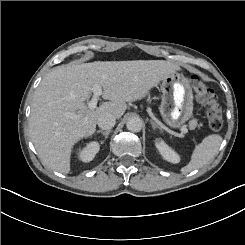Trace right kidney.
I'll return each instance as SVG.
<instances>
[{
	"label": "right kidney",
	"instance_id": "right-kidney-1",
	"mask_svg": "<svg viewBox=\"0 0 245 245\" xmlns=\"http://www.w3.org/2000/svg\"><path fill=\"white\" fill-rule=\"evenodd\" d=\"M99 150L100 143L97 140H92L76 150V157L82 163H89L95 158Z\"/></svg>",
	"mask_w": 245,
	"mask_h": 245
}]
</instances>
